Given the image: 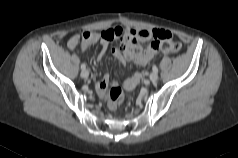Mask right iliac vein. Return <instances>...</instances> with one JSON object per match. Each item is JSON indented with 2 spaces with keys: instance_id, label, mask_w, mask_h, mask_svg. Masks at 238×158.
<instances>
[{
  "instance_id": "1",
  "label": "right iliac vein",
  "mask_w": 238,
  "mask_h": 158,
  "mask_svg": "<svg viewBox=\"0 0 238 158\" xmlns=\"http://www.w3.org/2000/svg\"><path fill=\"white\" fill-rule=\"evenodd\" d=\"M88 76H89V71L87 69H84L81 71L82 78H88Z\"/></svg>"
}]
</instances>
